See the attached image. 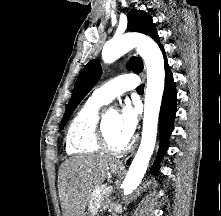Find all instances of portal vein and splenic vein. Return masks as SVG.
Returning a JSON list of instances; mask_svg holds the SVG:
<instances>
[{
	"label": "portal vein and splenic vein",
	"mask_w": 221,
	"mask_h": 216,
	"mask_svg": "<svg viewBox=\"0 0 221 216\" xmlns=\"http://www.w3.org/2000/svg\"><path fill=\"white\" fill-rule=\"evenodd\" d=\"M112 187L111 186H109V187H106L105 189H104V193H109V192H111L112 191Z\"/></svg>",
	"instance_id": "1"
}]
</instances>
